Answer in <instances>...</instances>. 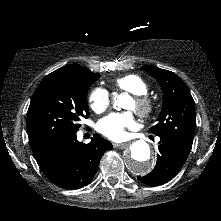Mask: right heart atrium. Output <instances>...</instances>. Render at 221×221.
<instances>
[{
    "label": "right heart atrium",
    "instance_id": "1",
    "mask_svg": "<svg viewBox=\"0 0 221 221\" xmlns=\"http://www.w3.org/2000/svg\"><path fill=\"white\" fill-rule=\"evenodd\" d=\"M110 102V94L103 87L94 88L88 97L89 106L95 113L104 112L109 107Z\"/></svg>",
    "mask_w": 221,
    "mask_h": 221
}]
</instances>
